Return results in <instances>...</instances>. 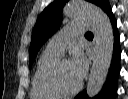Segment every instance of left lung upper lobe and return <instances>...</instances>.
<instances>
[{"label":"left lung upper lobe","instance_id":"obj_1","mask_svg":"<svg viewBox=\"0 0 128 99\" xmlns=\"http://www.w3.org/2000/svg\"><path fill=\"white\" fill-rule=\"evenodd\" d=\"M66 2L67 0H55L39 15L32 32L29 51L30 68L40 47L59 28L62 20L61 13ZM90 2L100 6L103 0H90Z\"/></svg>","mask_w":128,"mask_h":99}]
</instances>
